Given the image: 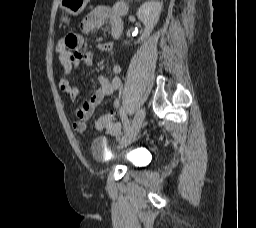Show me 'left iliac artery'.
Returning <instances> with one entry per match:
<instances>
[{
  "label": "left iliac artery",
  "mask_w": 256,
  "mask_h": 228,
  "mask_svg": "<svg viewBox=\"0 0 256 228\" xmlns=\"http://www.w3.org/2000/svg\"><path fill=\"white\" fill-rule=\"evenodd\" d=\"M120 116H121V119L123 122L124 132H126L129 129L130 122H129V120L124 112V109L122 107L120 108Z\"/></svg>",
  "instance_id": "left-iliac-artery-1"
}]
</instances>
